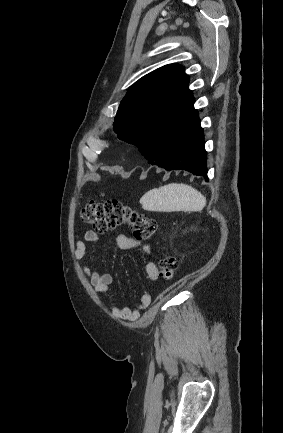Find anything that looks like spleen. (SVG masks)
I'll list each match as a JSON object with an SVG mask.
<instances>
[{
    "label": "spleen",
    "mask_w": 283,
    "mask_h": 433,
    "mask_svg": "<svg viewBox=\"0 0 283 433\" xmlns=\"http://www.w3.org/2000/svg\"><path fill=\"white\" fill-rule=\"evenodd\" d=\"M144 210H202L206 206V198L189 184H165L160 188H152L140 198Z\"/></svg>",
    "instance_id": "obj_1"
}]
</instances>
